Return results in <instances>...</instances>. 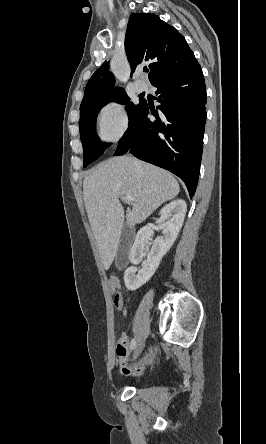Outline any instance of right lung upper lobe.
<instances>
[{
  "label": "right lung upper lobe",
  "mask_w": 266,
  "mask_h": 444,
  "mask_svg": "<svg viewBox=\"0 0 266 444\" xmlns=\"http://www.w3.org/2000/svg\"><path fill=\"white\" fill-rule=\"evenodd\" d=\"M125 49L132 73L142 61L149 62V80L183 68L196 58L185 38L155 14L133 13L128 22ZM109 62H104L88 81L81 104L105 95L120 87L114 86Z\"/></svg>",
  "instance_id": "1"
}]
</instances>
